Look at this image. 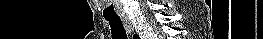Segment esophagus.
Listing matches in <instances>:
<instances>
[{
  "label": "esophagus",
  "mask_w": 263,
  "mask_h": 39,
  "mask_svg": "<svg viewBox=\"0 0 263 39\" xmlns=\"http://www.w3.org/2000/svg\"><path fill=\"white\" fill-rule=\"evenodd\" d=\"M122 22H123V25H124L127 33L131 36L134 32V27H133L132 23L130 22V20L127 17H123Z\"/></svg>",
  "instance_id": "esophagus-1"
}]
</instances>
